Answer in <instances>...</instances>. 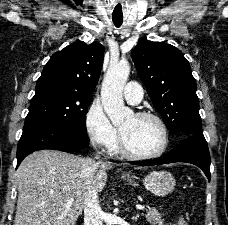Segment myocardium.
Returning a JSON list of instances; mask_svg holds the SVG:
<instances>
[{
  "mask_svg": "<svg viewBox=\"0 0 228 225\" xmlns=\"http://www.w3.org/2000/svg\"><path fill=\"white\" fill-rule=\"evenodd\" d=\"M135 117L138 119H152V120L156 121L160 125V127L163 131V135H164L163 145L160 148V150L157 151L156 153L142 154V153L132 150L128 146L124 133L122 131H120V150H121V152L124 153L125 155H127L131 158H135V159L150 160V159L160 158L166 152V150L169 146V142H170V133H169L167 124L160 116L153 114V113L140 112V113L135 114Z\"/></svg>",
  "mask_w": 228,
  "mask_h": 225,
  "instance_id": "f54148a6",
  "label": "myocardium"
}]
</instances>
